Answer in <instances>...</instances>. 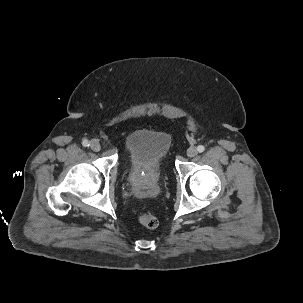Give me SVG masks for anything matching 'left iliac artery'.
I'll list each match as a JSON object with an SVG mask.
<instances>
[{
  "instance_id": "1",
  "label": "left iliac artery",
  "mask_w": 303,
  "mask_h": 303,
  "mask_svg": "<svg viewBox=\"0 0 303 303\" xmlns=\"http://www.w3.org/2000/svg\"><path fill=\"white\" fill-rule=\"evenodd\" d=\"M205 150V147L203 146V145H199L198 147H197V151L198 152H203Z\"/></svg>"
}]
</instances>
